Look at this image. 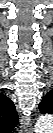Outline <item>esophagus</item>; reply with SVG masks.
Segmentation results:
<instances>
[{"instance_id":"1","label":"esophagus","mask_w":53,"mask_h":133,"mask_svg":"<svg viewBox=\"0 0 53 133\" xmlns=\"http://www.w3.org/2000/svg\"><path fill=\"white\" fill-rule=\"evenodd\" d=\"M22 133H33V128H31V124L29 121L22 119Z\"/></svg>"}]
</instances>
